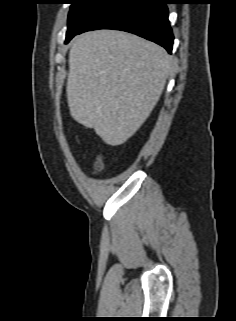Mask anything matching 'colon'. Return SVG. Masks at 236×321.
Returning <instances> with one entry per match:
<instances>
[{
    "label": "colon",
    "mask_w": 236,
    "mask_h": 321,
    "mask_svg": "<svg viewBox=\"0 0 236 321\" xmlns=\"http://www.w3.org/2000/svg\"><path fill=\"white\" fill-rule=\"evenodd\" d=\"M102 168H103V160H102V157L99 156V157H97V159L94 163V171L98 172V171L102 170Z\"/></svg>",
    "instance_id": "5ec220e1"
}]
</instances>
